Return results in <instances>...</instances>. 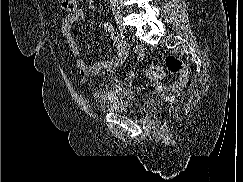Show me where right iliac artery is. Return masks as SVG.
I'll list each match as a JSON object with an SVG mask.
<instances>
[{
	"mask_svg": "<svg viewBox=\"0 0 243 182\" xmlns=\"http://www.w3.org/2000/svg\"><path fill=\"white\" fill-rule=\"evenodd\" d=\"M124 37H125V36H124L122 33H119V32L116 33V38H118V39H120V40H123Z\"/></svg>",
	"mask_w": 243,
	"mask_h": 182,
	"instance_id": "right-iliac-artery-1",
	"label": "right iliac artery"
}]
</instances>
